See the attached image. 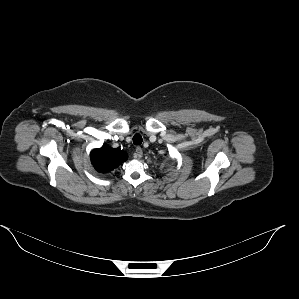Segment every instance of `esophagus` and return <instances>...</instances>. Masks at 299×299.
<instances>
[{"label":"esophagus","mask_w":299,"mask_h":299,"mask_svg":"<svg viewBox=\"0 0 299 299\" xmlns=\"http://www.w3.org/2000/svg\"><path fill=\"white\" fill-rule=\"evenodd\" d=\"M142 156H143V150H142V148L141 147H137L136 151L134 153V157L136 159H140Z\"/></svg>","instance_id":"esophagus-1"}]
</instances>
